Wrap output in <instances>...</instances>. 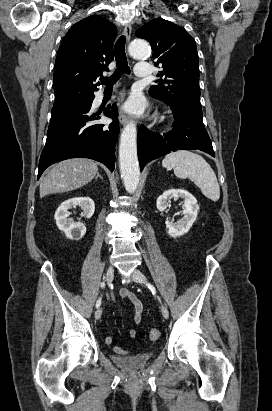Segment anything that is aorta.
I'll return each instance as SVG.
<instances>
[{"label": "aorta", "mask_w": 272, "mask_h": 411, "mask_svg": "<svg viewBox=\"0 0 272 411\" xmlns=\"http://www.w3.org/2000/svg\"><path fill=\"white\" fill-rule=\"evenodd\" d=\"M149 52L150 46L145 40L135 39L129 45V53L134 58L145 57ZM136 138V124L130 121L123 128L119 144L121 178L126 191L130 194L136 191L140 178Z\"/></svg>", "instance_id": "aorta-1"}]
</instances>
